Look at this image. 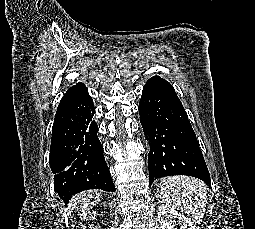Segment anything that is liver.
I'll use <instances>...</instances> for the list:
<instances>
[{
    "mask_svg": "<svg viewBox=\"0 0 255 229\" xmlns=\"http://www.w3.org/2000/svg\"><path fill=\"white\" fill-rule=\"evenodd\" d=\"M101 193L98 190H89L81 194L76 195L72 202L74 207H80L81 209H87L100 201Z\"/></svg>",
    "mask_w": 255,
    "mask_h": 229,
    "instance_id": "obj_1",
    "label": "liver"
}]
</instances>
